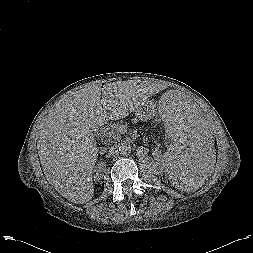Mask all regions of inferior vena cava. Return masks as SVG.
I'll return each instance as SVG.
<instances>
[{
    "label": "inferior vena cava",
    "instance_id": "602c4592",
    "mask_svg": "<svg viewBox=\"0 0 253 253\" xmlns=\"http://www.w3.org/2000/svg\"><path fill=\"white\" fill-rule=\"evenodd\" d=\"M118 146L119 145H113V146L109 147L110 155L114 156V155L118 154Z\"/></svg>",
    "mask_w": 253,
    "mask_h": 253
}]
</instances>
